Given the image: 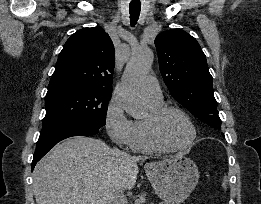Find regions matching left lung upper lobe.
Segmentation results:
<instances>
[{
    "mask_svg": "<svg viewBox=\"0 0 261 204\" xmlns=\"http://www.w3.org/2000/svg\"><path fill=\"white\" fill-rule=\"evenodd\" d=\"M155 46L171 95L201 121L221 129L213 79L197 40L182 29H170L157 35Z\"/></svg>",
    "mask_w": 261,
    "mask_h": 204,
    "instance_id": "1",
    "label": "left lung upper lobe"
}]
</instances>
